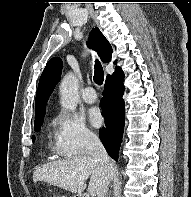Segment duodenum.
I'll use <instances>...</instances> for the list:
<instances>
[{"mask_svg": "<svg viewBox=\"0 0 191 197\" xmlns=\"http://www.w3.org/2000/svg\"><path fill=\"white\" fill-rule=\"evenodd\" d=\"M75 197H82L81 195H76Z\"/></svg>", "mask_w": 191, "mask_h": 197, "instance_id": "obj_1", "label": "duodenum"}]
</instances>
